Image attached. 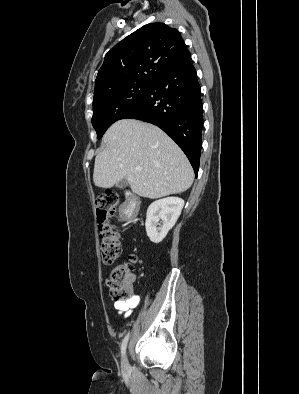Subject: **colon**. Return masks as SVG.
I'll use <instances>...</instances> for the list:
<instances>
[{"mask_svg":"<svg viewBox=\"0 0 299 394\" xmlns=\"http://www.w3.org/2000/svg\"><path fill=\"white\" fill-rule=\"evenodd\" d=\"M119 197L114 192H106L96 198L97 220L100 231V255L103 264L111 265L120 256L119 233L109 219L116 213ZM135 259L120 264L111 273L107 282L112 297L116 301H128L132 295Z\"/></svg>","mask_w":299,"mask_h":394,"instance_id":"obj_1","label":"colon"}]
</instances>
